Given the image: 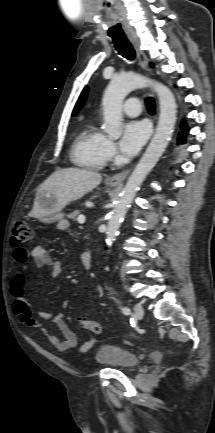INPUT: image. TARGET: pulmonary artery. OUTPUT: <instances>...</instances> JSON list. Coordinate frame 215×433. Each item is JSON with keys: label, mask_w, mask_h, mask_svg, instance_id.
Masks as SVG:
<instances>
[{"label": "pulmonary artery", "mask_w": 215, "mask_h": 433, "mask_svg": "<svg viewBox=\"0 0 215 433\" xmlns=\"http://www.w3.org/2000/svg\"><path fill=\"white\" fill-rule=\"evenodd\" d=\"M122 108L125 114L129 116H137L140 113L141 104L137 98L132 97L124 102Z\"/></svg>", "instance_id": "obj_1"}]
</instances>
